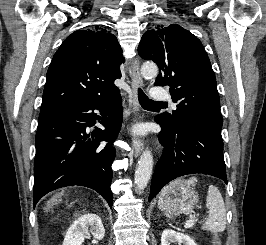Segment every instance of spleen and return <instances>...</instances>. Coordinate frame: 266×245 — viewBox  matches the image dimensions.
I'll return each mask as SVG.
<instances>
[{
    "label": "spleen",
    "mask_w": 266,
    "mask_h": 245,
    "mask_svg": "<svg viewBox=\"0 0 266 245\" xmlns=\"http://www.w3.org/2000/svg\"><path fill=\"white\" fill-rule=\"evenodd\" d=\"M182 183H184V181L178 179V181H173V183H170L168 187L163 189L158 203L159 209H162L163 197H165V195H167L171 189H174V187H180ZM186 183L187 185H190V187H195L197 179L196 177H190ZM206 207L209 209V215L202 229H204V231H211V233H223V231L226 229V209L222 195L220 191H218V187H213V185H210L206 199ZM167 217L172 219L171 215H167Z\"/></svg>",
    "instance_id": "obj_1"
}]
</instances>
